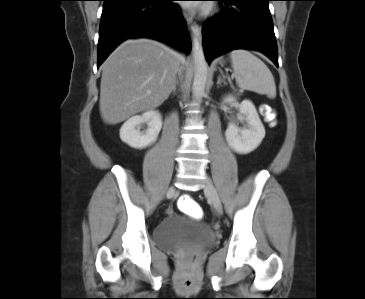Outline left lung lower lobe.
I'll return each mask as SVG.
<instances>
[{
    "label": "left lung lower lobe",
    "instance_id": "obj_1",
    "mask_svg": "<svg viewBox=\"0 0 365 299\" xmlns=\"http://www.w3.org/2000/svg\"><path fill=\"white\" fill-rule=\"evenodd\" d=\"M224 1L220 13L203 25L204 51L210 62L227 51L258 50L278 66V50L268 7L271 0Z\"/></svg>",
    "mask_w": 365,
    "mask_h": 299
}]
</instances>
